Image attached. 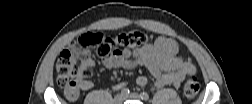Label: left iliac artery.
<instances>
[{
    "mask_svg": "<svg viewBox=\"0 0 252 104\" xmlns=\"http://www.w3.org/2000/svg\"><path fill=\"white\" fill-rule=\"evenodd\" d=\"M140 97H141L142 100H148L149 99V95L146 92H141Z\"/></svg>",
    "mask_w": 252,
    "mask_h": 104,
    "instance_id": "1",
    "label": "left iliac artery"
}]
</instances>
